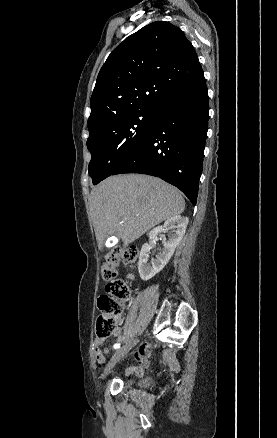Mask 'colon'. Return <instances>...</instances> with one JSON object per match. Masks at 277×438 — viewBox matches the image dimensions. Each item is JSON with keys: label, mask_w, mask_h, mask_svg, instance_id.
Returning a JSON list of instances; mask_svg holds the SVG:
<instances>
[{"label": "colon", "mask_w": 277, "mask_h": 438, "mask_svg": "<svg viewBox=\"0 0 277 438\" xmlns=\"http://www.w3.org/2000/svg\"><path fill=\"white\" fill-rule=\"evenodd\" d=\"M139 248H126L121 252L115 248L104 257V263L100 265V278L109 284L111 296H99L94 304L99 307V318L94 320V342L101 343L110 336L117 328H120L123 316V301L128 297V287L117 279V265L120 261H133L139 257ZM106 291L104 288L101 290Z\"/></svg>", "instance_id": "colon-1"}]
</instances>
